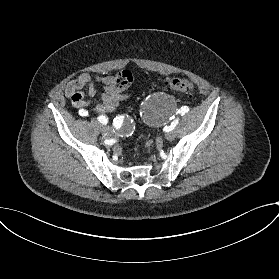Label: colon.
<instances>
[{
  "label": "colon",
  "mask_w": 279,
  "mask_h": 279,
  "mask_svg": "<svg viewBox=\"0 0 279 279\" xmlns=\"http://www.w3.org/2000/svg\"><path fill=\"white\" fill-rule=\"evenodd\" d=\"M168 88L174 92L181 94H193L195 90L194 83L184 77H174L166 81ZM148 150L151 149V146L147 147Z\"/></svg>",
  "instance_id": "5ec220e1"
}]
</instances>
